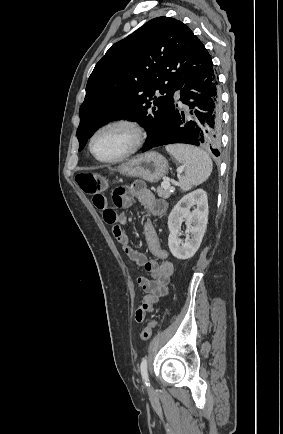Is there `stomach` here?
I'll return each mask as SVG.
<instances>
[{"label": "stomach", "instance_id": "1", "mask_svg": "<svg viewBox=\"0 0 283 434\" xmlns=\"http://www.w3.org/2000/svg\"><path fill=\"white\" fill-rule=\"evenodd\" d=\"M118 171L122 175L139 177L154 183L167 174L168 162L161 154L152 151L121 164Z\"/></svg>", "mask_w": 283, "mask_h": 434}]
</instances>
